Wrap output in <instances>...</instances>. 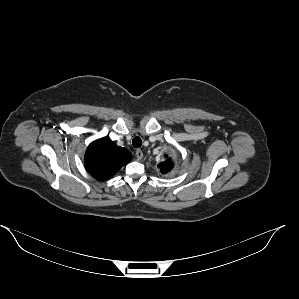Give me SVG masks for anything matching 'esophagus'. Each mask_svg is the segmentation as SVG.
Segmentation results:
<instances>
[{
    "label": "esophagus",
    "instance_id": "1",
    "mask_svg": "<svg viewBox=\"0 0 299 299\" xmlns=\"http://www.w3.org/2000/svg\"><path fill=\"white\" fill-rule=\"evenodd\" d=\"M136 158L137 160H141L143 158V152L140 149L136 150Z\"/></svg>",
    "mask_w": 299,
    "mask_h": 299
}]
</instances>
